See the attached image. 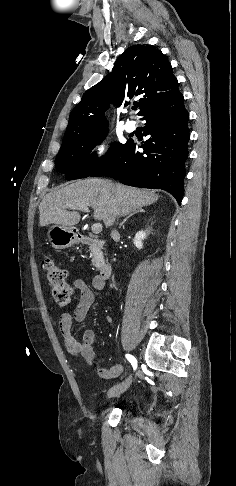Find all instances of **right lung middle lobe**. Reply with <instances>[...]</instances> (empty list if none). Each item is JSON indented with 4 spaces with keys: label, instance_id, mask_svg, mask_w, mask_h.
<instances>
[{
    "label": "right lung middle lobe",
    "instance_id": "dd1d6c3e",
    "mask_svg": "<svg viewBox=\"0 0 236 486\" xmlns=\"http://www.w3.org/2000/svg\"><path fill=\"white\" fill-rule=\"evenodd\" d=\"M107 132L105 128L62 144L55 159L57 170L65 173L68 180L86 178L94 173L126 145L114 143L105 157L97 159L96 154L91 152L105 139Z\"/></svg>",
    "mask_w": 236,
    "mask_h": 486
}]
</instances>
